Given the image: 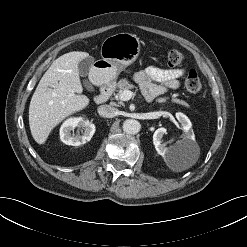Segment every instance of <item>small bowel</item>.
<instances>
[{"label": "small bowel", "mask_w": 247, "mask_h": 247, "mask_svg": "<svg viewBox=\"0 0 247 247\" xmlns=\"http://www.w3.org/2000/svg\"><path fill=\"white\" fill-rule=\"evenodd\" d=\"M183 69H165L148 67L134 75L145 98L152 101L156 96L165 93L168 89H176L183 76Z\"/></svg>", "instance_id": "1"}]
</instances>
